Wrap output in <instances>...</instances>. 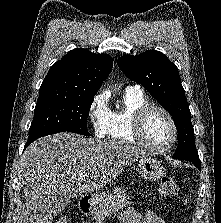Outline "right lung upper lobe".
Instances as JSON below:
<instances>
[{"mask_svg":"<svg viewBox=\"0 0 221 223\" xmlns=\"http://www.w3.org/2000/svg\"><path fill=\"white\" fill-rule=\"evenodd\" d=\"M107 54L83 48L69 51L50 68L41 84L37 101L74 96H95L112 70Z\"/></svg>","mask_w":221,"mask_h":223,"instance_id":"right-lung-upper-lobe-1","label":"right lung upper lobe"}]
</instances>
